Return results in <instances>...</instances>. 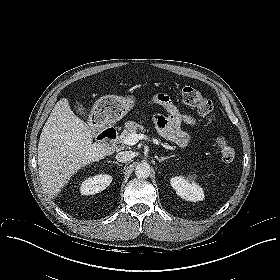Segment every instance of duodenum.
Masks as SVG:
<instances>
[{
	"mask_svg": "<svg viewBox=\"0 0 280 280\" xmlns=\"http://www.w3.org/2000/svg\"><path fill=\"white\" fill-rule=\"evenodd\" d=\"M102 135L105 137V140L109 147H113L115 145L118 133L114 126H108L107 128H105Z\"/></svg>",
	"mask_w": 280,
	"mask_h": 280,
	"instance_id": "obj_1",
	"label": "duodenum"
}]
</instances>
